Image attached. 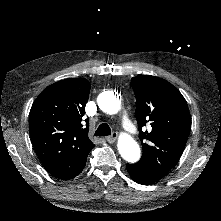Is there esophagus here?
Here are the masks:
<instances>
[{
	"mask_svg": "<svg viewBox=\"0 0 221 221\" xmlns=\"http://www.w3.org/2000/svg\"><path fill=\"white\" fill-rule=\"evenodd\" d=\"M118 138V134L114 132L111 136L106 137V141L110 144L114 143Z\"/></svg>",
	"mask_w": 221,
	"mask_h": 221,
	"instance_id": "34e87169",
	"label": "esophagus"
}]
</instances>
